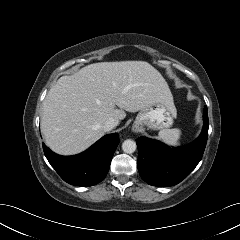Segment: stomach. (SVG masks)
Segmentation results:
<instances>
[{
  "label": "stomach",
  "instance_id": "0dacf381",
  "mask_svg": "<svg viewBox=\"0 0 240 240\" xmlns=\"http://www.w3.org/2000/svg\"><path fill=\"white\" fill-rule=\"evenodd\" d=\"M176 114L174 103L157 102L138 113L133 128L135 130L145 127L154 130L167 129L173 125Z\"/></svg>",
  "mask_w": 240,
  "mask_h": 240
}]
</instances>
